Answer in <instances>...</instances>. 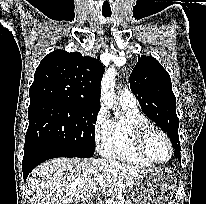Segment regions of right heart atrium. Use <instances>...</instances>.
<instances>
[{"instance_id": "1", "label": "right heart atrium", "mask_w": 206, "mask_h": 204, "mask_svg": "<svg viewBox=\"0 0 206 204\" xmlns=\"http://www.w3.org/2000/svg\"><path fill=\"white\" fill-rule=\"evenodd\" d=\"M108 126H109V117L106 109L102 106L99 108L98 112L96 113L92 124L94 142L98 149H100L103 146L106 140Z\"/></svg>"}]
</instances>
